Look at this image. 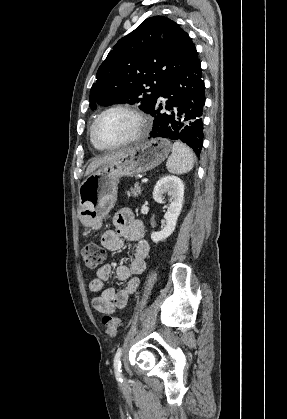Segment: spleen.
Returning <instances> with one entry per match:
<instances>
[{"mask_svg":"<svg viewBox=\"0 0 287 419\" xmlns=\"http://www.w3.org/2000/svg\"><path fill=\"white\" fill-rule=\"evenodd\" d=\"M194 166L193 153L189 147L181 142L172 146V154L166 162L167 170L172 174H185Z\"/></svg>","mask_w":287,"mask_h":419,"instance_id":"3e777b00","label":"spleen"}]
</instances>
